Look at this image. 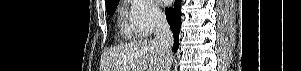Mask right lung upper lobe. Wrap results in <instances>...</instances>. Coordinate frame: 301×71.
<instances>
[{"instance_id":"cb5924a9","label":"right lung upper lobe","mask_w":301,"mask_h":71,"mask_svg":"<svg viewBox=\"0 0 301 71\" xmlns=\"http://www.w3.org/2000/svg\"><path fill=\"white\" fill-rule=\"evenodd\" d=\"M111 1H114V0H105V3L107 4V3L111 2Z\"/></svg>"}]
</instances>
